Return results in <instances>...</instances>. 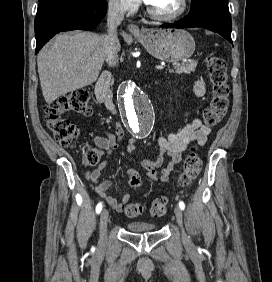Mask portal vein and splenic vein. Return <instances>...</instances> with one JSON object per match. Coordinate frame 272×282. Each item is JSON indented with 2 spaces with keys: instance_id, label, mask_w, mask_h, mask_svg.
<instances>
[{
  "instance_id": "portal-vein-and-splenic-vein-1",
  "label": "portal vein and splenic vein",
  "mask_w": 272,
  "mask_h": 282,
  "mask_svg": "<svg viewBox=\"0 0 272 282\" xmlns=\"http://www.w3.org/2000/svg\"><path fill=\"white\" fill-rule=\"evenodd\" d=\"M156 69H158V70H163V69H164V66H162V65H157V66H156Z\"/></svg>"
}]
</instances>
